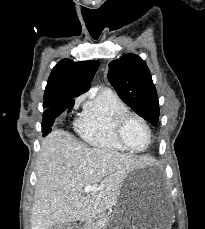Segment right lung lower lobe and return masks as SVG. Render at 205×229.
Masks as SVG:
<instances>
[{
  "label": "right lung lower lobe",
  "instance_id": "1",
  "mask_svg": "<svg viewBox=\"0 0 205 229\" xmlns=\"http://www.w3.org/2000/svg\"><path fill=\"white\" fill-rule=\"evenodd\" d=\"M74 106V99H67L60 101L51 107H49L43 114L42 132L43 136H46L51 132V126L53 125L55 118L58 117L62 112L68 110V113Z\"/></svg>",
  "mask_w": 205,
  "mask_h": 229
}]
</instances>
